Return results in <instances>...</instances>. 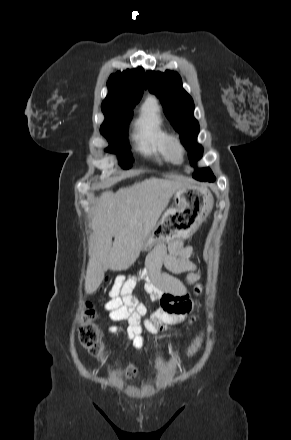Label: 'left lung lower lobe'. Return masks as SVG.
I'll list each match as a JSON object with an SVG mask.
<instances>
[{"instance_id": "1", "label": "left lung lower lobe", "mask_w": 291, "mask_h": 440, "mask_svg": "<svg viewBox=\"0 0 291 440\" xmlns=\"http://www.w3.org/2000/svg\"><path fill=\"white\" fill-rule=\"evenodd\" d=\"M205 181L214 182L215 181V177H210V178L206 179Z\"/></svg>"}]
</instances>
